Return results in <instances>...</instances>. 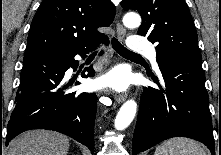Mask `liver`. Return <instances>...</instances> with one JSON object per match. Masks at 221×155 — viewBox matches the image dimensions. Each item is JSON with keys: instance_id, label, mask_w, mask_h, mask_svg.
Listing matches in <instances>:
<instances>
[{"instance_id": "6515ba94", "label": "liver", "mask_w": 221, "mask_h": 155, "mask_svg": "<svg viewBox=\"0 0 221 155\" xmlns=\"http://www.w3.org/2000/svg\"><path fill=\"white\" fill-rule=\"evenodd\" d=\"M69 139L48 130H31L17 136L6 155H67Z\"/></svg>"}]
</instances>
